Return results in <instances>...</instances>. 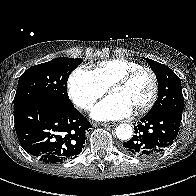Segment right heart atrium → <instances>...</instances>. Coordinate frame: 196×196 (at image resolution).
I'll return each instance as SVG.
<instances>
[{"label":"right heart atrium","instance_id":"1","mask_svg":"<svg viewBox=\"0 0 196 196\" xmlns=\"http://www.w3.org/2000/svg\"><path fill=\"white\" fill-rule=\"evenodd\" d=\"M68 92L77 107L89 110L105 94L106 88L100 84L91 70L78 67L69 77Z\"/></svg>","mask_w":196,"mask_h":196}]
</instances>
